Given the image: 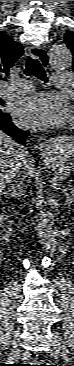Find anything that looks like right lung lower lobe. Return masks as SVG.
<instances>
[{
	"label": "right lung lower lobe",
	"instance_id": "right-lung-lower-lobe-1",
	"mask_svg": "<svg viewBox=\"0 0 74 366\" xmlns=\"http://www.w3.org/2000/svg\"><path fill=\"white\" fill-rule=\"evenodd\" d=\"M0 131L5 132L16 141H20L25 145V140L29 132L18 129L11 121L9 114L0 115Z\"/></svg>",
	"mask_w": 74,
	"mask_h": 366
}]
</instances>
